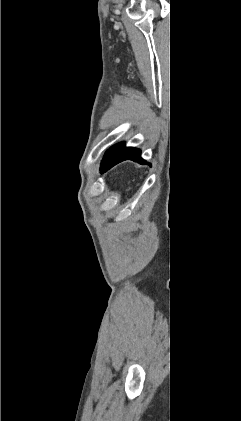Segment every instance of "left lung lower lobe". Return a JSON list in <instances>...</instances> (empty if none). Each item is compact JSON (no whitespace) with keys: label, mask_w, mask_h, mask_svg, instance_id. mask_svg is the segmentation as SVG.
Returning <instances> with one entry per match:
<instances>
[{"label":"left lung lower lobe","mask_w":241,"mask_h":421,"mask_svg":"<svg viewBox=\"0 0 241 421\" xmlns=\"http://www.w3.org/2000/svg\"><path fill=\"white\" fill-rule=\"evenodd\" d=\"M128 159L142 164L145 163L141 158V151L139 149L125 147L123 142L116 144L105 153L100 170L101 172H105L117 163Z\"/></svg>","instance_id":"obj_1"}]
</instances>
